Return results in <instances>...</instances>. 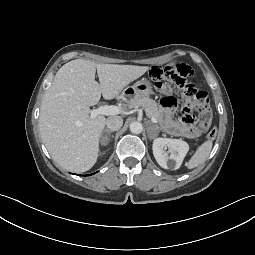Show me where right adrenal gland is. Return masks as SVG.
Here are the masks:
<instances>
[{"label": "right adrenal gland", "instance_id": "1", "mask_svg": "<svg viewBox=\"0 0 255 255\" xmlns=\"http://www.w3.org/2000/svg\"><path fill=\"white\" fill-rule=\"evenodd\" d=\"M104 132H107L108 135H110V133H112V131L109 129H105ZM108 141H110V139L107 137L106 143L104 141H101V145H104V146L107 145Z\"/></svg>", "mask_w": 255, "mask_h": 255}]
</instances>
